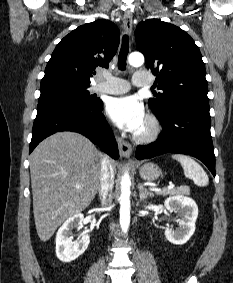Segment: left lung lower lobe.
I'll return each instance as SVG.
<instances>
[{
    "mask_svg": "<svg viewBox=\"0 0 233 283\" xmlns=\"http://www.w3.org/2000/svg\"><path fill=\"white\" fill-rule=\"evenodd\" d=\"M156 116L163 131L156 142L148 146H138L136 158L149 159L167 152L187 154L201 160L215 176L209 103H179Z\"/></svg>",
    "mask_w": 233,
    "mask_h": 283,
    "instance_id": "obj_1",
    "label": "left lung lower lobe"
}]
</instances>
